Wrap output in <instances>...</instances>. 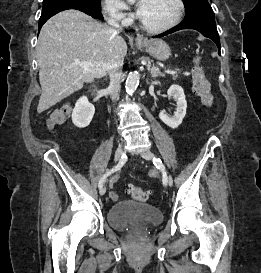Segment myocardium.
Instances as JSON below:
<instances>
[{"instance_id":"myocardium-1","label":"myocardium","mask_w":261,"mask_h":273,"mask_svg":"<svg viewBox=\"0 0 261 273\" xmlns=\"http://www.w3.org/2000/svg\"><path fill=\"white\" fill-rule=\"evenodd\" d=\"M177 6V12L175 17L173 18L172 21H170L169 23L163 25V26H159V27H152L147 25L144 21L141 20L140 16H138L139 19V23L140 26L142 27V29L151 32V33H163L166 32L168 30H170L171 28L175 27L182 19L184 11H185V5L183 0H174Z\"/></svg>"}]
</instances>
